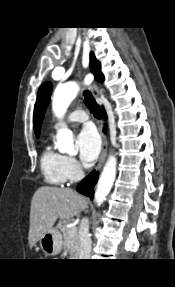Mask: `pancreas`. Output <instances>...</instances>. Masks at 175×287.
<instances>
[{"label": "pancreas", "instance_id": "obj_1", "mask_svg": "<svg viewBox=\"0 0 175 287\" xmlns=\"http://www.w3.org/2000/svg\"><path fill=\"white\" fill-rule=\"evenodd\" d=\"M57 228L62 232L64 247L71 252L70 256H78L79 253V236L78 233L69 234L70 228H67L63 222L57 224Z\"/></svg>", "mask_w": 175, "mask_h": 287}]
</instances>
